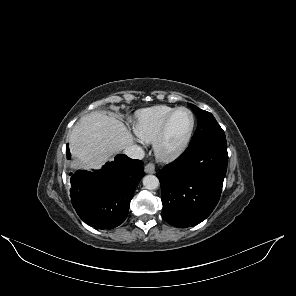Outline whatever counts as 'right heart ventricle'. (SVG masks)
Here are the masks:
<instances>
[{
  "label": "right heart ventricle",
  "instance_id": "obj_1",
  "mask_svg": "<svg viewBox=\"0 0 296 296\" xmlns=\"http://www.w3.org/2000/svg\"><path fill=\"white\" fill-rule=\"evenodd\" d=\"M175 109L174 107L159 105L138 111L134 123L135 134L143 142H154L163 123Z\"/></svg>",
  "mask_w": 296,
  "mask_h": 296
}]
</instances>
